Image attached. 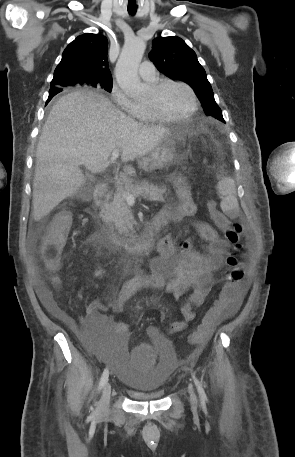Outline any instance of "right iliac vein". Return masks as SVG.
<instances>
[{"label":"right iliac vein","instance_id":"63e3f726","mask_svg":"<svg viewBox=\"0 0 295 457\" xmlns=\"http://www.w3.org/2000/svg\"><path fill=\"white\" fill-rule=\"evenodd\" d=\"M111 396V384L106 382L103 386L102 396L98 405L99 413H106L109 409V402Z\"/></svg>","mask_w":295,"mask_h":457}]
</instances>
